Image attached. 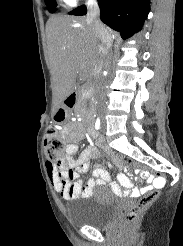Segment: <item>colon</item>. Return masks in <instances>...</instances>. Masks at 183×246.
Masks as SVG:
<instances>
[{
	"label": "colon",
	"instance_id": "colon-1",
	"mask_svg": "<svg viewBox=\"0 0 183 246\" xmlns=\"http://www.w3.org/2000/svg\"><path fill=\"white\" fill-rule=\"evenodd\" d=\"M44 147L48 162L58 167L65 164L66 158L61 153L63 142L56 128L48 127L44 138ZM116 155L118 160L125 162V165L144 169V172L161 173L160 170H153V167H146V164H143V162L132 160V157H129V155H119L118 153ZM163 176V179H167V174H163ZM158 196L159 192L157 189L144 195L133 208L123 213L120 226H129L136 222L140 215L156 201Z\"/></svg>",
	"mask_w": 183,
	"mask_h": 246
}]
</instances>
